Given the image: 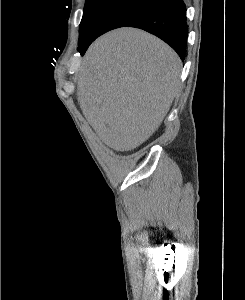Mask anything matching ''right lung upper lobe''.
<instances>
[{
  "label": "right lung upper lobe",
  "instance_id": "1",
  "mask_svg": "<svg viewBox=\"0 0 245 300\" xmlns=\"http://www.w3.org/2000/svg\"><path fill=\"white\" fill-rule=\"evenodd\" d=\"M156 1L161 2V1H164V0H156Z\"/></svg>",
  "mask_w": 245,
  "mask_h": 300
}]
</instances>
